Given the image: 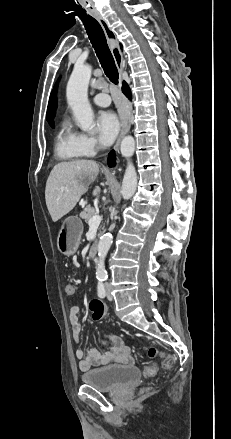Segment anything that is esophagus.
<instances>
[{"mask_svg": "<svg viewBox=\"0 0 231 439\" xmlns=\"http://www.w3.org/2000/svg\"><path fill=\"white\" fill-rule=\"evenodd\" d=\"M93 16L99 22V24L101 25V27L104 31L106 38L109 42L115 64H116L119 72L122 74L123 69H124L123 55H122V52L120 50L115 33L113 32V30L109 26L108 22L100 14L96 13V14H93ZM129 129H130V121H129V119H126L122 124L121 132H120L119 137H118V139L115 143V146H114V150L116 152H119V146H120L121 140L128 133Z\"/></svg>", "mask_w": 231, "mask_h": 439, "instance_id": "esophagus-1", "label": "esophagus"}]
</instances>
